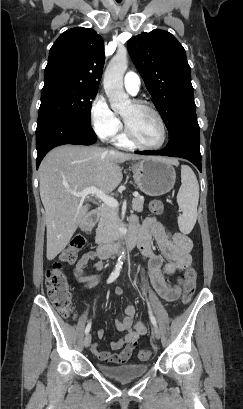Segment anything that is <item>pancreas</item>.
<instances>
[{
    "label": "pancreas",
    "instance_id": "pancreas-1",
    "mask_svg": "<svg viewBox=\"0 0 243 409\" xmlns=\"http://www.w3.org/2000/svg\"><path fill=\"white\" fill-rule=\"evenodd\" d=\"M144 198L136 196L132 201V209L142 212ZM118 208L102 205L99 210V223L96 229L95 240L97 243H109L114 240L115 230L120 225Z\"/></svg>",
    "mask_w": 243,
    "mask_h": 409
}]
</instances>
